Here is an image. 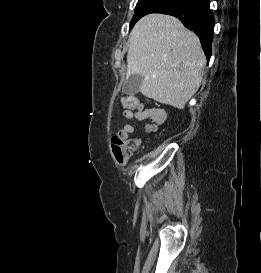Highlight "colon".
I'll list each match as a JSON object with an SVG mask.
<instances>
[{"mask_svg": "<svg viewBox=\"0 0 261 273\" xmlns=\"http://www.w3.org/2000/svg\"><path fill=\"white\" fill-rule=\"evenodd\" d=\"M122 103L124 107L130 108L137 113L143 111L140 101L133 95H126ZM111 143L114 159L120 165H123L139 146L138 139H127V135L123 131L116 133L112 137Z\"/></svg>", "mask_w": 261, "mask_h": 273, "instance_id": "5ec220e1", "label": "colon"}]
</instances>
